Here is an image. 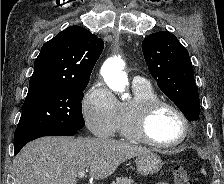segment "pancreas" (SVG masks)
<instances>
[{"mask_svg":"<svg viewBox=\"0 0 224 184\" xmlns=\"http://www.w3.org/2000/svg\"><path fill=\"white\" fill-rule=\"evenodd\" d=\"M111 184H136L135 181L131 178H117L116 181H113Z\"/></svg>","mask_w":224,"mask_h":184,"instance_id":"1","label":"pancreas"}]
</instances>
